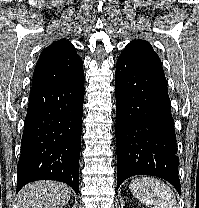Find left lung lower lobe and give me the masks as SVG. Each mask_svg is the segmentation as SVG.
Wrapping results in <instances>:
<instances>
[{
    "label": "left lung lower lobe",
    "mask_w": 199,
    "mask_h": 208,
    "mask_svg": "<svg viewBox=\"0 0 199 208\" xmlns=\"http://www.w3.org/2000/svg\"><path fill=\"white\" fill-rule=\"evenodd\" d=\"M117 186L134 175L164 178L181 192L165 76L119 57L115 72Z\"/></svg>",
    "instance_id": "left-lung-lower-lobe-1"
}]
</instances>
